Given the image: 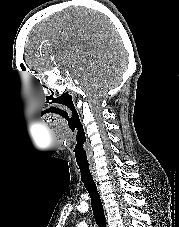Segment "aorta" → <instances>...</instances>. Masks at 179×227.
<instances>
[{
	"mask_svg": "<svg viewBox=\"0 0 179 227\" xmlns=\"http://www.w3.org/2000/svg\"><path fill=\"white\" fill-rule=\"evenodd\" d=\"M77 227H88V225L85 221H82L79 224H77Z\"/></svg>",
	"mask_w": 179,
	"mask_h": 227,
	"instance_id": "aorta-1",
	"label": "aorta"
}]
</instances>
